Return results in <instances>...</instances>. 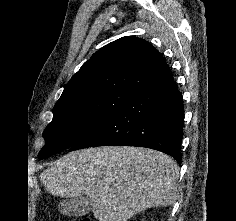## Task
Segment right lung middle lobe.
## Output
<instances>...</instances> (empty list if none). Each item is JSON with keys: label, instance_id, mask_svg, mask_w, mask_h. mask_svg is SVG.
Instances as JSON below:
<instances>
[{"label": "right lung middle lobe", "instance_id": "1", "mask_svg": "<svg viewBox=\"0 0 236 221\" xmlns=\"http://www.w3.org/2000/svg\"><path fill=\"white\" fill-rule=\"evenodd\" d=\"M135 93L126 89L102 90L55 105L53 120L43 132L46 143L39 159L71 148Z\"/></svg>", "mask_w": 236, "mask_h": 221}]
</instances>
